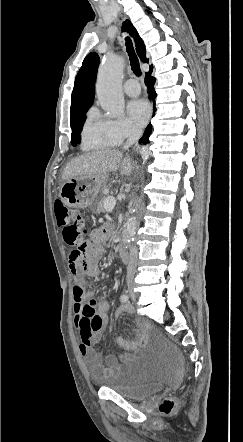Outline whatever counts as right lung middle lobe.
<instances>
[{
	"mask_svg": "<svg viewBox=\"0 0 243 442\" xmlns=\"http://www.w3.org/2000/svg\"><path fill=\"white\" fill-rule=\"evenodd\" d=\"M84 117L85 113H83L78 120L71 123V129H72L71 143L73 144V146H75L81 140V138L79 137V133L85 122Z\"/></svg>",
	"mask_w": 243,
	"mask_h": 442,
	"instance_id": "obj_1",
	"label": "right lung middle lobe"
}]
</instances>
